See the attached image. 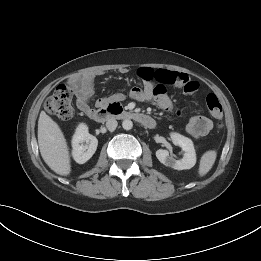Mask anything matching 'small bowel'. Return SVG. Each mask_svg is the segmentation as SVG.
Listing matches in <instances>:
<instances>
[{
  "label": "small bowel",
  "instance_id": "small-bowel-1",
  "mask_svg": "<svg viewBox=\"0 0 261 261\" xmlns=\"http://www.w3.org/2000/svg\"><path fill=\"white\" fill-rule=\"evenodd\" d=\"M124 73V71H121ZM143 80L142 87H134L130 96L137 101L154 100L161 108L170 110L173 108L172 102L166 94L164 85H175L182 88L186 94L195 93L198 88V82L192 80L187 74L168 70L152 71L149 68H142L138 72ZM98 75L96 72H86L70 80V86L76 97L77 107L89 115L93 109L89 105L94 94L93 81ZM155 79L159 84L152 82ZM116 100H122L123 95H115ZM104 99L100 100V103ZM212 130V122L205 116H195L190 119L186 126V131L194 138H200L208 135Z\"/></svg>",
  "mask_w": 261,
  "mask_h": 261
}]
</instances>
